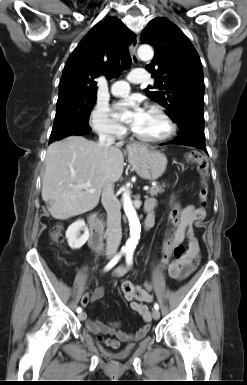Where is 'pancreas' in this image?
I'll return each instance as SVG.
<instances>
[{"mask_svg":"<svg viewBox=\"0 0 247 385\" xmlns=\"http://www.w3.org/2000/svg\"><path fill=\"white\" fill-rule=\"evenodd\" d=\"M166 187L165 184L162 185H154L152 186L147 193L150 194V196H157L160 193L164 192V188Z\"/></svg>","mask_w":247,"mask_h":385,"instance_id":"obj_1","label":"pancreas"}]
</instances>
